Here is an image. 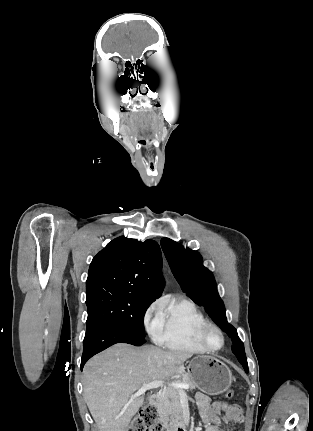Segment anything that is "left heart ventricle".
<instances>
[{"instance_id":"b2bd125f","label":"left heart ventricle","mask_w":313,"mask_h":431,"mask_svg":"<svg viewBox=\"0 0 313 431\" xmlns=\"http://www.w3.org/2000/svg\"><path fill=\"white\" fill-rule=\"evenodd\" d=\"M206 340L212 348H218L221 345V337L215 330H210L207 333Z\"/></svg>"}]
</instances>
